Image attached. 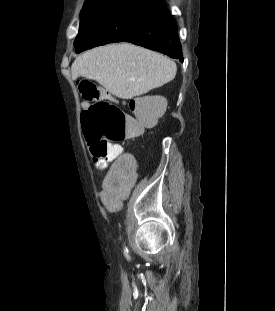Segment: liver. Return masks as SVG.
<instances>
[{
    "label": "liver",
    "instance_id": "1",
    "mask_svg": "<svg viewBox=\"0 0 275 311\" xmlns=\"http://www.w3.org/2000/svg\"><path fill=\"white\" fill-rule=\"evenodd\" d=\"M72 78L95 80L118 98L131 99L172 81L174 61L129 43L91 49L71 66Z\"/></svg>",
    "mask_w": 275,
    "mask_h": 311
}]
</instances>
